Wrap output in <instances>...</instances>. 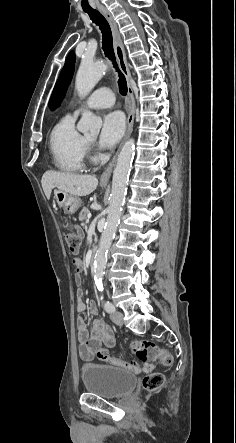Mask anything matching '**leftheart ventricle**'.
<instances>
[{"label": "left heart ventricle", "mask_w": 236, "mask_h": 443, "mask_svg": "<svg viewBox=\"0 0 236 443\" xmlns=\"http://www.w3.org/2000/svg\"><path fill=\"white\" fill-rule=\"evenodd\" d=\"M87 139H89V140H93V139H94V136H88Z\"/></svg>", "instance_id": "1"}]
</instances>
